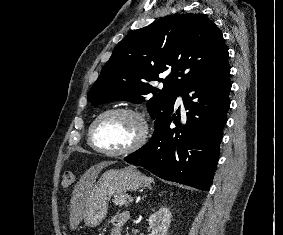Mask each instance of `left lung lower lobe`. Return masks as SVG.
<instances>
[{"label":"left lung lower lobe","mask_w":283,"mask_h":235,"mask_svg":"<svg viewBox=\"0 0 283 235\" xmlns=\"http://www.w3.org/2000/svg\"><path fill=\"white\" fill-rule=\"evenodd\" d=\"M231 90L228 61L187 82L183 97L187 120L180 110L164 119L145 146L124 160L156 176L207 191L216 171ZM174 123L176 128L171 129Z\"/></svg>","instance_id":"obj_1"}]
</instances>
